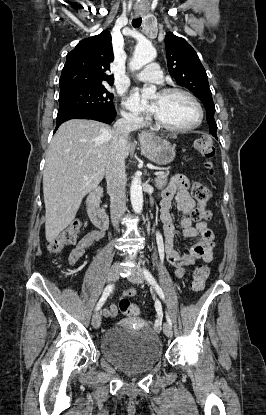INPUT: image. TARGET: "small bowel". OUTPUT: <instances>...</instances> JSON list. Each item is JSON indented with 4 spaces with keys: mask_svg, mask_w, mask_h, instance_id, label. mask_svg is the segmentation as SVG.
I'll list each match as a JSON object with an SVG mask.
<instances>
[{
    "mask_svg": "<svg viewBox=\"0 0 266 415\" xmlns=\"http://www.w3.org/2000/svg\"><path fill=\"white\" fill-rule=\"evenodd\" d=\"M189 180L183 175H175L169 185L160 195L161 213L160 218L163 223V233L165 238V255L167 261L174 267L175 276L180 278L186 272L187 268L201 259L204 262H210L213 257L214 234L204 221L195 222L188 215L195 206V202L189 192ZM175 199L177 209L183 214L179 225L182 235L186 238L193 239L194 244L189 253L180 254L174 248L175 224L172 214L170 213L171 201ZM101 230H92L85 234L71 251L68 261L70 265L76 262L85 254V252L94 245L95 242L103 237ZM135 289H125L120 294V299L135 295ZM106 316H115L117 307L115 304L105 309Z\"/></svg>",
    "mask_w": 266,
    "mask_h": 415,
    "instance_id": "small-bowel-1",
    "label": "small bowel"
}]
</instances>
